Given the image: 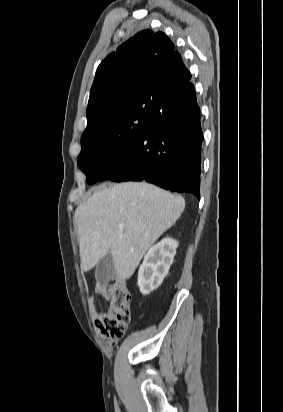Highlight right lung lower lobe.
I'll use <instances>...</instances> for the list:
<instances>
[{"instance_id":"1","label":"right lung lower lobe","mask_w":283,"mask_h":412,"mask_svg":"<svg viewBox=\"0 0 283 412\" xmlns=\"http://www.w3.org/2000/svg\"><path fill=\"white\" fill-rule=\"evenodd\" d=\"M202 139L200 109L188 81L167 98L126 154L98 180L147 181L200 199Z\"/></svg>"}]
</instances>
